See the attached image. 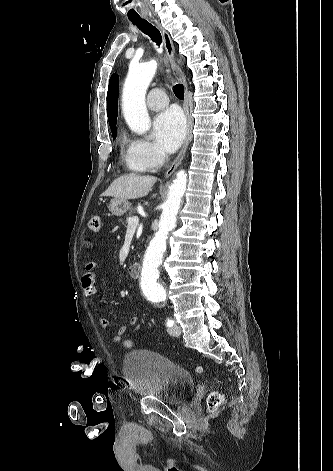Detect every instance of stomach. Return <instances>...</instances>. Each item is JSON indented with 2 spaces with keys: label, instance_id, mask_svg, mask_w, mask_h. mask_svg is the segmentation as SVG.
<instances>
[{
  "label": "stomach",
  "instance_id": "stomach-1",
  "mask_svg": "<svg viewBox=\"0 0 333 471\" xmlns=\"http://www.w3.org/2000/svg\"><path fill=\"white\" fill-rule=\"evenodd\" d=\"M130 208V202L126 199L113 198L109 203V210L115 216H122Z\"/></svg>",
  "mask_w": 333,
  "mask_h": 471
}]
</instances>
